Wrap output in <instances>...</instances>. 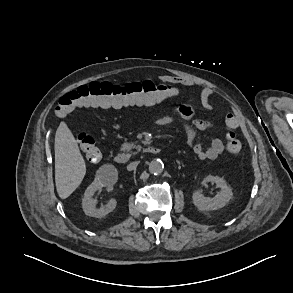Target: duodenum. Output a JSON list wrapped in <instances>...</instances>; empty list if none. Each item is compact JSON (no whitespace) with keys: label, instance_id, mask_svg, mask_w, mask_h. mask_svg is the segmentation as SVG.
<instances>
[{"label":"duodenum","instance_id":"1","mask_svg":"<svg viewBox=\"0 0 293 293\" xmlns=\"http://www.w3.org/2000/svg\"><path fill=\"white\" fill-rule=\"evenodd\" d=\"M160 151V148L156 146H148L145 148V152L151 155H157ZM114 160L117 164L124 165L129 162V156L125 153H118L115 155Z\"/></svg>","mask_w":293,"mask_h":293}]
</instances>
